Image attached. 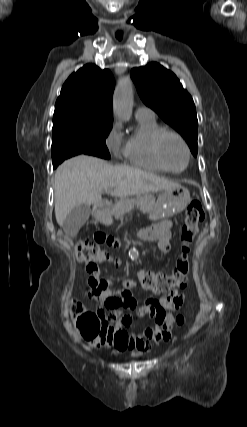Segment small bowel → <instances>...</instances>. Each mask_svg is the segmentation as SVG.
Returning a JSON list of instances; mask_svg holds the SVG:
<instances>
[{"mask_svg":"<svg viewBox=\"0 0 247 427\" xmlns=\"http://www.w3.org/2000/svg\"><path fill=\"white\" fill-rule=\"evenodd\" d=\"M171 229L172 223L164 220L141 230L137 236L142 240L157 241L158 248L168 253L171 249ZM95 238L97 245H106L109 250L119 249L122 246L120 240L115 239L111 232H105L104 229H97ZM86 271L89 274L88 296L97 303L96 313L106 329L104 345H113L117 351H145L152 345H158L171 338L174 324L172 311L179 309L183 304L182 294L172 291L159 300L147 299L140 306L131 292L137 286L133 280H123L122 289L114 291L109 279L100 278V270L96 263H87ZM106 310L110 312L106 314ZM126 310L137 312L139 315H148L151 325L129 333L127 328L132 325L133 319L125 312Z\"/></svg>","mask_w":247,"mask_h":427,"instance_id":"1","label":"small bowel"}]
</instances>
